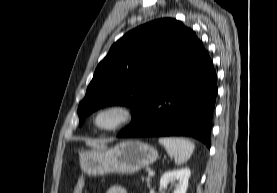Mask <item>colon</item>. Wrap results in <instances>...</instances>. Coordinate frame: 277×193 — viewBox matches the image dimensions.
I'll return each instance as SVG.
<instances>
[{
  "label": "colon",
  "instance_id": "obj_1",
  "mask_svg": "<svg viewBox=\"0 0 277 193\" xmlns=\"http://www.w3.org/2000/svg\"><path fill=\"white\" fill-rule=\"evenodd\" d=\"M84 186H85L84 178L80 177L79 180L77 181L76 185H75L73 193H83Z\"/></svg>",
  "mask_w": 277,
  "mask_h": 193
}]
</instances>
